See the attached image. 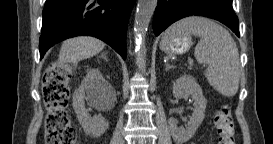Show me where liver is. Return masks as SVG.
I'll list each match as a JSON object with an SVG mask.
<instances>
[{"label":"liver","mask_w":273,"mask_h":144,"mask_svg":"<svg viewBox=\"0 0 273 144\" xmlns=\"http://www.w3.org/2000/svg\"><path fill=\"white\" fill-rule=\"evenodd\" d=\"M104 47L105 43L97 38L90 36L74 37L63 42L58 62L60 65L77 63L100 53Z\"/></svg>","instance_id":"liver-1"}]
</instances>
